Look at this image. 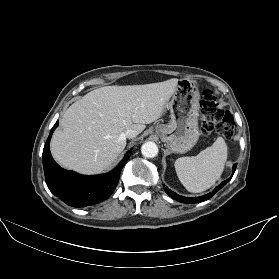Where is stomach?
<instances>
[{
    "label": "stomach",
    "instance_id": "obj_1",
    "mask_svg": "<svg viewBox=\"0 0 279 279\" xmlns=\"http://www.w3.org/2000/svg\"><path fill=\"white\" fill-rule=\"evenodd\" d=\"M200 93L196 84L188 79L178 80L177 87L167 104L171 120L158 124L155 133L174 153H186L198 141Z\"/></svg>",
    "mask_w": 279,
    "mask_h": 279
}]
</instances>
